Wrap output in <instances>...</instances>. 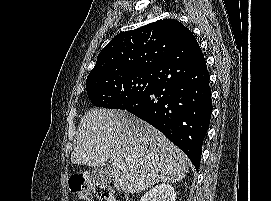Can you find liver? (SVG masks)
Here are the masks:
<instances>
[{"instance_id":"6515ba94","label":"liver","mask_w":271,"mask_h":201,"mask_svg":"<svg viewBox=\"0 0 271 201\" xmlns=\"http://www.w3.org/2000/svg\"><path fill=\"white\" fill-rule=\"evenodd\" d=\"M109 159L114 186L129 193L181 181L189 162L161 132L129 112L91 109L82 117L71 162L96 167Z\"/></svg>"}]
</instances>
